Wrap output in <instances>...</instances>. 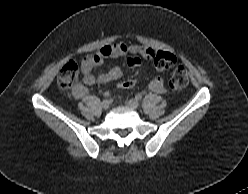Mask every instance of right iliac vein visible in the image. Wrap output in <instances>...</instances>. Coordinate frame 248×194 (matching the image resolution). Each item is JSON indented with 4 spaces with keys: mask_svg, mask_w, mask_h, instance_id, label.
<instances>
[{
    "mask_svg": "<svg viewBox=\"0 0 248 194\" xmlns=\"http://www.w3.org/2000/svg\"><path fill=\"white\" fill-rule=\"evenodd\" d=\"M101 106H102V108H103L104 110H107V109L109 108V106H110V103H109L108 100H103V101L101 102Z\"/></svg>",
    "mask_w": 248,
    "mask_h": 194,
    "instance_id": "obj_1",
    "label": "right iliac vein"
}]
</instances>
